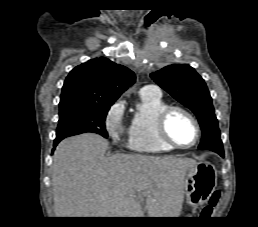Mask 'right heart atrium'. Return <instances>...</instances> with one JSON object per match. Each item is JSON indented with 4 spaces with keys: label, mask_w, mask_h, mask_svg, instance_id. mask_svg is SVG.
I'll use <instances>...</instances> for the list:
<instances>
[{
    "label": "right heart atrium",
    "mask_w": 258,
    "mask_h": 227,
    "mask_svg": "<svg viewBox=\"0 0 258 227\" xmlns=\"http://www.w3.org/2000/svg\"><path fill=\"white\" fill-rule=\"evenodd\" d=\"M124 103L118 101L109 109L105 118V127L114 140H118L125 133L123 124Z\"/></svg>",
    "instance_id": "right-heart-atrium-1"
}]
</instances>
